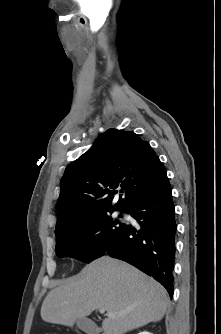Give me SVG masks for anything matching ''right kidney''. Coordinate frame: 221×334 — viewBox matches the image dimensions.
<instances>
[{"instance_id":"ca27d5eb","label":"right kidney","mask_w":221,"mask_h":334,"mask_svg":"<svg viewBox=\"0 0 221 334\" xmlns=\"http://www.w3.org/2000/svg\"><path fill=\"white\" fill-rule=\"evenodd\" d=\"M138 334H153V333H150V332H147V331H143V332H140Z\"/></svg>"}]
</instances>
